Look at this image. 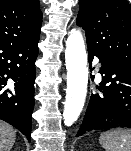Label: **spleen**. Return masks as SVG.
<instances>
[{
    "mask_svg": "<svg viewBox=\"0 0 131 151\" xmlns=\"http://www.w3.org/2000/svg\"><path fill=\"white\" fill-rule=\"evenodd\" d=\"M99 142L105 151H131V131L108 130L101 134Z\"/></svg>",
    "mask_w": 131,
    "mask_h": 151,
    "instance_id": "3e777b00",
    "label": "spleen"
}]
</instances>
